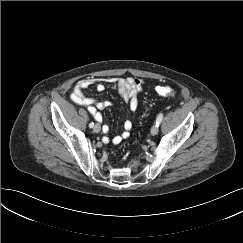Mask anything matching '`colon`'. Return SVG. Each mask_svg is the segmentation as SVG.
Masks as SVG:
<instances>
[{
    "instance_id": "1",
    "label": "colon",
    "mask_w": 243,
    "mask_h": 243,
    "mask_svg": "<svg viewBox=\"0 0 243 243\" xmlns=\"http://www.w3.org/2000/svg\"><path fill=\"white\" fill-rule=\"evenodd\" d=\"M155 90L159 95L165 97H172L175 94L174 89L167 85L157 86Z\"/></svg>"
}]
</instances>
